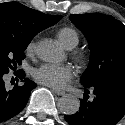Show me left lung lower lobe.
<instances>
[{
  "label": "left lung lower lobe",
  "instance_id": "obj_1",
  "mask_svg": "<svg viewBox=\"0 0 125 125\" xmlns=\"http://www.w3.org/2000/svg\"><path fill=\"white\" fill-rule=\"evenodd\" d=\"M91 87L94 100L84 97L79 111L65 115V120L70 125H116L125 115V80H105Z\"/></svg>",
  "mask_w": 125,
  "mask_h": 125
}]
</instances>
